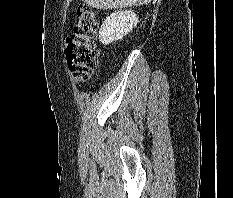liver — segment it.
Masks as SVG:
<instances>
[{"mask_svg": "<svg viewBox=\"0 0 233 198\" xmlns=\"http://www.w3.org/2000/svg\"><path fill=\"white\" fill-rule=\"evenodd\" d=\"M89 7H93L96 9H117L124 7H132V6H142L147 5L152 0H82Z\"/></svg>", "mask_w": 233, "mask_h": 198, "instance_id": "obj_1", "label": "liver"}]
</instances>
